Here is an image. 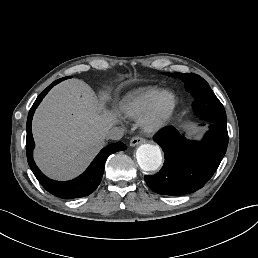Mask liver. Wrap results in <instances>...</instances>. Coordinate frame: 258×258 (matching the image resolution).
<instances>
[{"label":"liver","instance_id":"liver-1","mask_svg":"<svg viewBox=\"0 0 258 258\" xmlns=\"http://www.w3.org/2000/svg\"><path fill=\"white\" fill-rule=\"evenodd\" d=\"M98 108L93 90L79 79L65 80L46 94L32 118L33 160L46 177L77 178L106 146L107 132L123 109Z\"/></svg>","mask_w":258,"mask_h":258}]
</instances>
